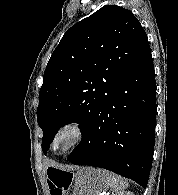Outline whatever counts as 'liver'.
Segmentation results:
<instances>
[{"mask_svg": "<svg viewBox=\"0 0 178 195\" xmlns=\"http://www.w3.org/2000/svg\"><path fill=\"white\" fill-rule=\"evenodd\" d=\"M50 165H54V164H53V163H48V164H47V167L50 166Z\"/></svg>", "mask_w": 178, "mask_h": 195, "instance_id": "1", "label": "liver"}]
</instances>
